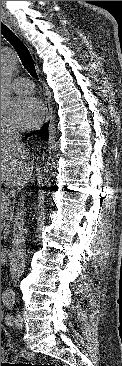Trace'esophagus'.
Masks as SVG:
<instances>
[{
	"label": "esophagus",
	"instance_id": "obj_1",
	"mask_svg": "<svg viewBox=\"0 0 122 366\" xmlns=\"http://www.w3.org/2000/svg\"><path fill=\"white\" fill-rule=\"evenodd\" d=\"M1 20L4 21V23H6L9 27H11L19 36H21L18 28H16L13 24V22L6 16L1 15ZM32 56L34 57V54L31 50ZM52 112H53V107L50 101V97L47 95V93L45 94V121L48 122L49 120L52 119Z\"/></svg>",
	"mask_w": 122,
	"mask_h": 366
}]
</instances>
